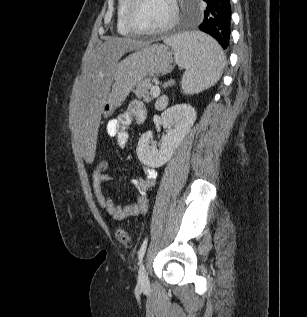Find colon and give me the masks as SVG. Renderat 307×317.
Wrapping results in <instances>:
<instances>
[{
  "instance_id": "1",
  "label": "colon",
  "mask_w": 307,
  "mask_h": 317,
  "mask_svg": "<svg viewBox=\"0 0 307 317\" xmlns=\"http://www.w3.org/2000/svg\"><path fill=\"white\" fill-rule=\"evenodd\" d=\"M107 169V162L105 159H97L95 162V168L94 171L103 173ZM116 237L119 242L122 244H128L130 242V236L124 229H117L116 231Z\"/></svg>"
}]
</instances>
